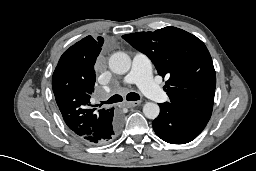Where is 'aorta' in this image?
Listing matches in <instances>:
<instances>
[{
	"label": "aorta",
	"mask_w": 256,
	"mask_h": 171,
	"mask_svg": "<svg viewBox=\"0 0 256 171\" xmlns=\"http://www.w3.org/2000/svg\"><path fill=\"white\" fill-rule=\"evenodd\" d=\"M131 59L124 52H116L109 59V68L116 74H125L130 70ZM160 108L156 103L147 102L143 106V113L149 119H155L159 115Z\"/></svg>",
	"instance_id": "obj_1"
}]
</instances>
